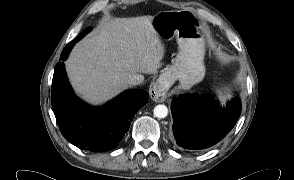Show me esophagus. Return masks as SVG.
Listing matches in <instances>:
<instances>
[{
    "mask_svg": "<svg viewBox=\"0 0 294 180\" xmlns=\"http://www.w3.org/2000/svg\"><path fill=\"white\" fill-rule=\"evenodd\" d=\"M172 83L171 74L161 75L156 82L149 86L150 98L155 102H163L166 99L167 90Z\"/></svg>",
    "mask_w": 294,
    "mask_h": 180,
    "instance_id": "34e87169",
    "label": "esophagus"
}]
</instances>
